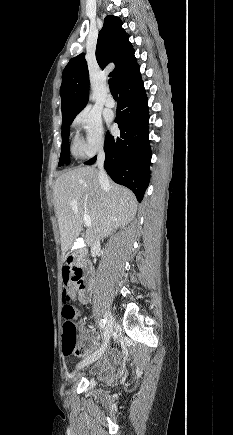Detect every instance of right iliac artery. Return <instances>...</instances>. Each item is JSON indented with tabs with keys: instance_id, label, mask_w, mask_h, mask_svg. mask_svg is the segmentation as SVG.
<instances>
[{
	"instance_id": "right-iliac-artery-1",
	"label": "right iliac artery",
	"mask_w": 233,
	"mask_h": 435,
	"mask_svg": "<svg viewBox=\"0 0 233 435\" xmlns=\"http://www.w3.org/2000/svg\"><path fill=\"white\" fill-rule=\"evenodd\" d=\"M99 325H100V328L103 329L105 327V325H106L105 319H101L100 322H99Z\"/></svg>"
}]
</instances>
